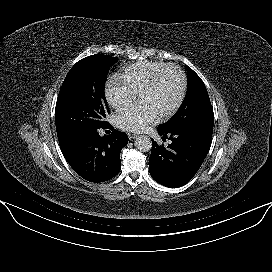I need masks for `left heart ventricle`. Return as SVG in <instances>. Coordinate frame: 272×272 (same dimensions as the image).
Listing matches in <instances>:
<instances>
[{
  "label": "left heart ventricle",
  "instance_id": "1",
  "mask_svg": "<svg viewBox=\"0 0 272 272\" xmlns=\"http://www.w3.org/2000/svg\"><path fill=\"white\" fill-rule=\"evenodd\" d=\"M181 89V76L175 69H168L156 87L139 98L140 103L150 105L159 115L169 110L177 101Z\"/></svg>",
  "mask_w": 272,
  "mask_h": 272
}]
</instances>
